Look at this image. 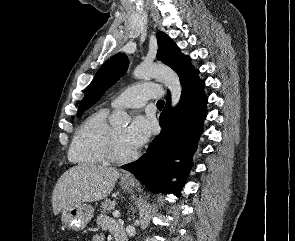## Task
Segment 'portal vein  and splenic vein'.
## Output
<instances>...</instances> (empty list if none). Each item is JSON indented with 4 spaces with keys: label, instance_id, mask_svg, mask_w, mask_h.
Instances as JSON below:
<instances>
[{
    "label": "portal vein and splenic vein",
    "instance_id": "18ae733b",
    "mask_svg": "<svg viewBox=\"0 0 295 241\" xmlns=\"http://www.w3.org/2000/svg\"><path fill=\"white\" fill-rule=\"evenodd\" d=\"M119 215H120L119 211H114V212H113V216H114V217L118 218Z\"/></svg>",
    "mask_w": 295,
    "mask_h": 241
}]
</instances>
